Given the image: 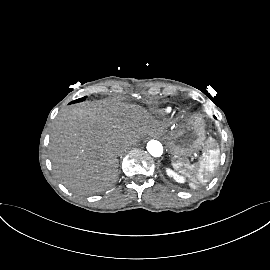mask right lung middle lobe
I'll return each instance as SVG.
<instances>
[{
	"mask_svg": "<svg viewBox=\"0 0 270 270\" xmlns=\"http://www.w3.org/2000/svg\"><path fill=\"white\" fill-rule=\"evenodd\" d=\"M86 97H83V98H80V99H77L71 103H77V102H82L83 100H85Z\"/></svg>",
	"mask_w": 270,
	"mask_h": 270,
	"instance_id": "dd1d6c3e",
	"label": "right lung middle lobe"
}]
</instances>
